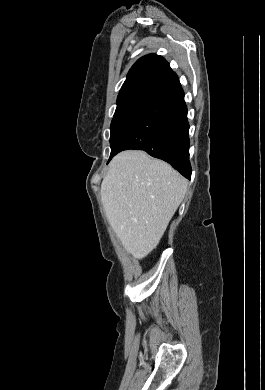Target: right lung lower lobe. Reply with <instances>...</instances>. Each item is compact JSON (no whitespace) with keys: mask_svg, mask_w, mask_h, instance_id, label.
Instances as JSON below:
<instances>
[{"mask_svg":"<svg viewBox=\"0 0 265 390\" xmlns=\"http://www.w3.org/2000/svg\"><path fill=\"white\" fill-rule=\"evenodd\" d=\"M189 124L184 92L180 84L155 99L125 129L114 154L127 150H144L171 164L190 179Z\"/></svg>","mask_w":265,"mask_h":390,"instance_id":"obj_1","label":"right lung lower lobe"}]
</instances>
